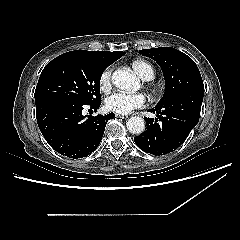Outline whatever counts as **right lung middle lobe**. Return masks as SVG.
Masks as SVG:
<instances>
[{"mask_svg": "<svg viewBox=\"0 0 240 240\" xmlns=\"http://www.w3.org/2000/svg\"><path fill=\"white\" fill-rule=\"evenodd\" d=\"M110 63L86 51L64 53L43 69L35 90V102L65 97L90 105L101 100L100 79Z\"/></svg>", "mask_w": 240, "mask_h": 240, "instance_id": "right-lung-middle-lobe-1", "label": "right lung middle lobe"}]
</instances>
